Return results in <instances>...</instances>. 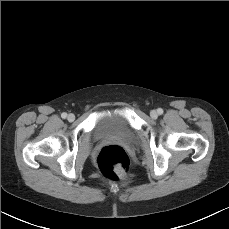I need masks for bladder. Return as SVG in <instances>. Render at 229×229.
Masks as SVG:
<instances>
[{
    "mask_svg": "<svg viewBox=\"0 0 229 229\" xmlns=\"http://www.w3.org/2000/svg\"><path fill=\"white\" fill-rule=\"evenodd\" d=\"M98 139L116 138L127 142L134 141L136 134L132 127L119 115L103 116L95 130Z\"/></svg>",
    "mask_w": 229,
    "mask_h": 229,
    "instance_id": "31cf9c89",
    "label": "bladder"
}]
</instances>
